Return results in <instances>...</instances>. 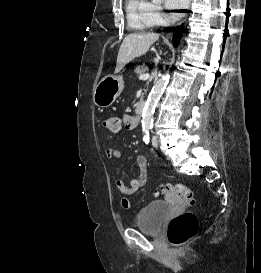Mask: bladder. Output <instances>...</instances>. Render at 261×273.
<instances>
[{
  "label": "bladder",
  "instance_id": "31cf9c89",
  "mask_svg": "<svg viewBox=\"0 0 261 273\" xmlns=\"http://www.w3.org/2000/svg\"><path fill=\"white\" fill-rule=\"evenodd\" d=\"M169 210L170 204L168 202L153 201L139 213L136 219V225L145 233H159Z\"/></svg>",
  "mask_w": 261,
  "mask_h": 273
}]
</instances>
